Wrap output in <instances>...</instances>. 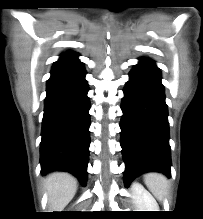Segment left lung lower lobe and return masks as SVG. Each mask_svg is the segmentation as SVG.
Masks as SVG:
<instances>
[{"label":"left lung lower lobe","mask_w":203,"mask_h":219,"mask_svg":"<svg viewBox=\"0 0 203 219\" xmlns=\"http://www.w3.org/2000/svg\"><path fill=\"white\" fill-rule=\"evenodd\" d=\"M124 88L120 122L125 186L146 172L171 175L168 111L159 68L140 58Z\"/></svg>","instance_id":"left-lung-lower-lobe-1"}]
</instances>
